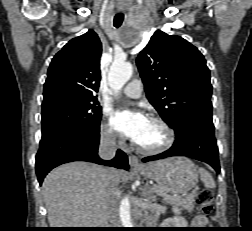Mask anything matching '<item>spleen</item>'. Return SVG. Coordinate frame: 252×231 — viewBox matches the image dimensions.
<instances>
[{
  "label": "spleen",
  "instance_id": "1",
  "mask_svg": "<svg viewBox=\"0 0 252 231\" xmlns=\"http://www.w3.org/2000/svg\"><path fill=\"white\" fill-rule=\"evenodd\" d=\"M200 178L203 181L205 187L215 188V182L209 172L203 168H199Z\"/></svg>",
  "mask_w": 252,
  "mask_h": 231
}]
</instances>
